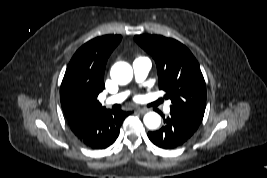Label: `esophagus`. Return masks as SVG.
<instances>
[{
	"instance_id": "1",
	"label": "esophagus",
	"mask_w": 267,
	"mask_h": 178,
	"mask_svg": "<svg viewBox=\"0 0 267 178\" xmlns=\"http://www.w3.org/2000/svg\"><path fill=\"white\" fill-rule=\"evenodd\" d=\"M136 111L141 113V114H144V113H146L148 111V109H146V108H138V109H136Z\"/></svg>"
}]
</instances>
